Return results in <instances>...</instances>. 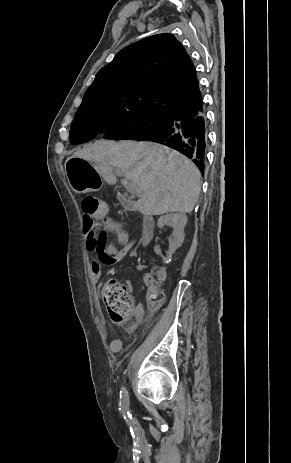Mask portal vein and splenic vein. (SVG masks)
Segmentation results:
<instances>
[{
  "mask_svg": "<svg viewBox=\"0 0 291 463\" xmlns=\"http://www.w3.org/2000/svg\"><path fill=\"white\" fill-rule=\"evenodd\" d=\"M118 175H121L120 172H118ZM122 184L125 186L127 192L135 195H140V190L137 188V185L133 183L132 181H128V179H124L122 181Z\"/></svg>",
  "mask_w": 291,
  "mask_h": 463,
  "instance_id": "portal-vein-and-splenic-vein-1",
  "label": "portal vein and splenic vein"
}]
</instances>
